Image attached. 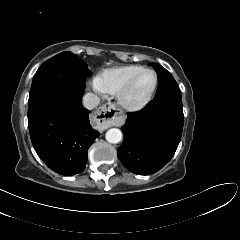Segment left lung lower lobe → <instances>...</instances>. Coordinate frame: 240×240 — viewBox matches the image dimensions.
<instances>
[{
	"label": "left lung lower lobe",
	"mask_w": 240,
	"mask_h": 240,
	"mask_svg": "<svg viewBox=\"0 0 240 240\" xmlns=\"http://www.w3.org/2000/svg\"><path fill=\"white\" fill-rule=\"evenodd\" d=\"M127 116L118 158L132 173L153 174L171 160L180 142L184 122L181 96L154 98L144 109Z\"/></svg>",
	"instance_id": "0a47b994"
}]
</instances>
